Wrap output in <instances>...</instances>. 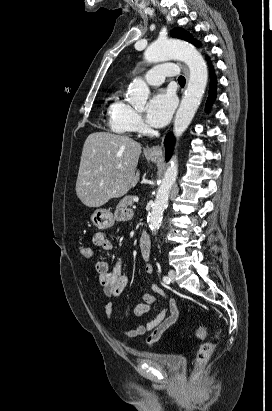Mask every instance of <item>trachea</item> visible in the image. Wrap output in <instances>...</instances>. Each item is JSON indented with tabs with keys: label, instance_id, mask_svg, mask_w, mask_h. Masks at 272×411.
<instances>
[{
	"label": "trachea",
	"instance_id": "1",
	"mask_svg": "<svg viewBox=\"0 0 272 411\" xmlns=\"http://www.w3.org/2000/svg\"><path fill=\"white\" fill-rule=\"evenodd\" d=\"M179 84H185V78L183 76L178 77Z\"/></svg>",
	"mask_w": 272,
	"mask_h": 411
}]
</instances>
